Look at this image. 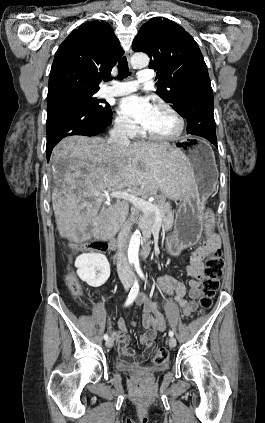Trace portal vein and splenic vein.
<instances>
[{"instance_id": "18ae733b", "label": "portal vein and splenic vein", "mask_w": 265, "mask_h": 423, "mask_svg": "<svg viewBox=\"0 0 265 423\" xmlns=\"http://www.w3.org/2000/svg\"><path fill=\"white\" fill-rule=\"evenodd\" d=\"M110 197H114L118 199L122 198L124 200H127L128 202L132 203L135 207H137L138 209H140L141 211L145 213L155 212L159 220H161V217L159 214V208L155 204L148 202L142 198L130 195L128 191L112 192L110 195H107V198H110Z\"/></svg>"}]
</instances>
